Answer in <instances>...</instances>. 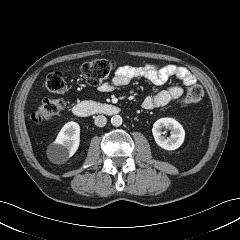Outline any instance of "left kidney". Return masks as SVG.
Segmentation results:
<instances>
[{"instance_id":"5707ae66","label":"left kidney","mask_w":240,"mask_h":240,"mask_svg":"<svg viewBox=\"0 0 240 240\" xmlns=\"http://www.w3.org/2000/svg\"><path fill=\"white\" fill-rule=\"evenodd\" d=\"M164 127L171 130L170 138H165L161 135V129ZM152 134L157 145L165 150H175L179 148L185 138L183 126L175 119L168 117L160 118L153 124Z\"/></svg>"}]
</instances>
